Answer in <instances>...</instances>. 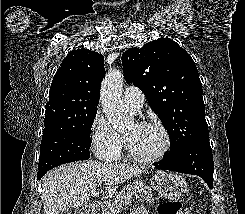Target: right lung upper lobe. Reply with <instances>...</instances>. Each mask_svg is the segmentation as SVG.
Masks as SVG:
<instances>
[{
  "instance_id": "cb5924a9",
  "label": "right lung upper lobe",
  "mask_w": 245,
  "mask_h": 214,
  "mask_svg": "<svg viewBox=\"0 0 245 214\" xmlns=\"http://www.w3.org/2000/svg\"><path fill=\"white\" fill-rule=\"evenodd\" d=\"M104 75V57L98 52L85 48L69 52L52 81L43 135L75 126L97 110Z\"/></svg>"
}]
</instances>
